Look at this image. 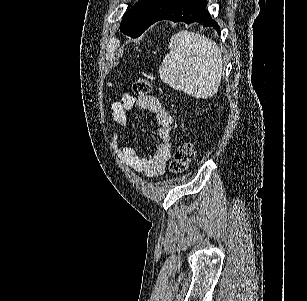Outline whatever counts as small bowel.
Here are the masks:
<instances>
[{"label":"small bowel","instance_id":"c3829d8e","mask_svg":"<svg viewBox=\"0 0 307 301\" xmlns=\"http://www.w3.org/2000/svg\"><path fill=\"white\" fill-rule=\"evenodd\" d=\"M136 106L156 116L159 140L156 150L148 156L139 154L128 136L121 137L116 132L111 134V146L120 160L134 171L143 172L148 177H157L165 172L166 163L171 157L173 120L158 98L150 95L134 97L130 94L122 95L112 104L111 117L118 126L125 128L128 124V113Z\"/></svg>","mask_w":307,"mask_h":301}]
</instances>
